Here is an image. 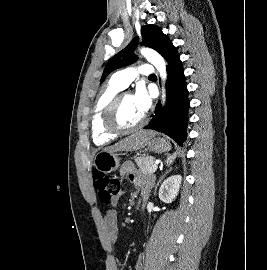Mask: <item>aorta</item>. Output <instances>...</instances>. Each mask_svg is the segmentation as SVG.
I'll list each match as a JSON object with an SVG mask.
<instances>
[{
  "label": "aorta",
  "mask_w": 267,
  "mask_h": 270,
  "mask_svg": "<svg viewBox=\"0 0 267 270\" xmlns=\"http://www.w3.org/2000/svg\"><path fill=\"white\" fill-rule=\"evenodd\" d=\"M141 54L152 64L155 66V68L158 70L160 77L163 81V84L166 81L167 78V72H166V63L164 58L157 53L155 50L150 49V48H142L140 50ZM166 99V94H165V88L164 86L162 87V102L164 104Z\"/></svg>",
  "instance_id": "aorta-1"
}]
</instances>
